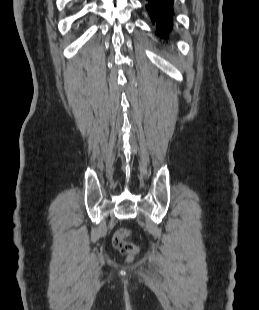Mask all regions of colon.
Masks as SVG:
<instances>
[{
    "label": "colon",
    "mask_w": 259,
    "mask_h": 310,
    "mask_svg": "<svg viewBox=\"0 0 259 310\" xmlns=\"http://www.w3.org/2000/svg\"><path fill=\"white\" fill-rule=\"evenodd\" d=\"M130 231L127 228L117 230L113 237V246L123 254L134 256L137 254L139 248L135 244L127 241Z\"/></svg>",
    "instance_id": "colon-1"
}]
</instances>
